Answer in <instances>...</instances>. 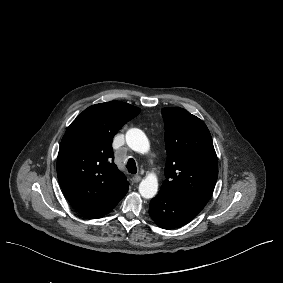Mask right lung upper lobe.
Wrapping results in <instances>:
<instances>
[{"instance_id": "right-lung-upper-lobe-1", "label": "right lung upper lobe", "mask_w": 283, "mask_h": 283, "mask_svg": "<svg viewBox=\"0 0 283 283\" xmlns=\"http://www.w3.org/2000/svg\"><path fill=\"white\" fill-rule=\"evenodd\" d=\"M140 109L111 101L90 106L66 130L57 158L64 195L81 214L101 218L126 195L129 183L115 165L114 135Z\"/></svg>"}]
</instances>
